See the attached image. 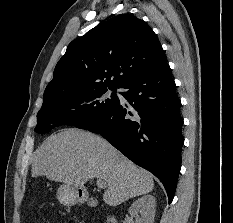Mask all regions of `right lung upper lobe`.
<instances>
[{"instance_id": "right-lung-upper-lobe-1", "label": "right lung upper lobe", "mask_w": 233, "mask_h": 223, "mask_svg": "<svg viewBox=\"0 0 233 223\" xmlns=\"http://www.w3.org/2000/svg\"><path fill=\"white\" fill-rule=\"evenodd\" d=\"M165 63L164 50L147 23L131 14L117 15L68 45L43 104L93 88H120Z\"/></svg>"}]
</instances>
